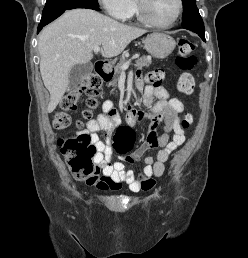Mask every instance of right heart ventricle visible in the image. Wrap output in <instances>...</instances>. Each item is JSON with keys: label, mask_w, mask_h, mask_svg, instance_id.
<instances>
[{"label": "right heart ventricle", "mask_w": 248, "mask_h": 258, "mask_svg": "<svg viewBox=\"0 0 248 258\" xmlns=\"http://www.w3.org/2000/svg\"><path fill=\"white\" fill-rule=\"evenodd\" d=\"M133 16H136V10H135V4H134V2L132 0V9H131L128 17H133Z\"/></svg>", "instance_id": "e07e8e85"}]
</instances>
